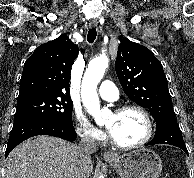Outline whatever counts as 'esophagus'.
Returning a JSON list of instances; mask_svg holds the SVG:
<instances>
[{
    "label": "esophagus",
    "instance_id": "34e87169",
    "mask_svg": "<svg viewBox=\"0 0 194 178\" xmlns=\"http://www.w3.org/2000/svg\"><path fill=\"white\" fill-rule=\"evenodd\" d=\"M89 26H90V27H95V26H97V22H96V21H90V22H89ZM103 157H104L105 159H111V158L114 157V155H113L112 153L105 152V153L103 154Z\"/></svg>",
    "mask_w": 194,
    "mask_h": 178
}]
</instances>
